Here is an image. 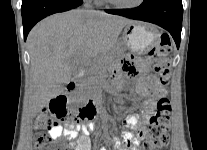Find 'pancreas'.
Returning a JSON list of instances; mask_svg holds the SVG:
<instances>
[{
  "label": "pancreas",
  "mask_w": 207,
  "mask_h": 150,
  "mask_svg": "<svg viewBox=\"0 0 207 150\" xmlns=\"http://www.w3.org/2000/svg\"><path fill=\"white\" fill-rule=\"evenodd\" d=\"M113 60V56H105L94 61L87 73L88 76L81 82V87L91 93L93 89L101 84V80L106 75Z\"/></svg>",
  "instance_id": "obj_1"
}]
</instances>
